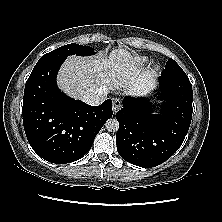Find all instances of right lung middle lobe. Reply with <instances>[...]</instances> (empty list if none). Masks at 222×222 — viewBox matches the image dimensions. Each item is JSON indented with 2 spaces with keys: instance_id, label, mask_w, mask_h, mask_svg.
<instances>
[{
  "instance_id": "right-lung-middle-lobe-1",
  "label": "right lung middle lobe",
  "mask_w": 222,
  "mask_h": 222,
  "mask_svg": "<svg viewBox=\"0 0 222 222\" xmlns=\"http://www.w3.org/2000/svg\"><path fill=\"white\" fill-rule=\"evenodd\" d=\"M94 54L95 52L92 47L72 43V44L59 47L43 55L37 63L48 61V60H53V59H58V60L66 59L67 56H70V55L89 56V55H94Z\"/></svg>"
}]
</instances>
